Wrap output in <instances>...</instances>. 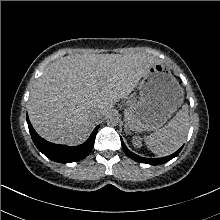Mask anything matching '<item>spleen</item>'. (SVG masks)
<instances>
[{
    "mask_svg": "<svg viewBox=\"0 0 220 220\" xmlns=\"http://www.w3.org/2000/svg\"><path fill=\"white\" fill-rule=\"evenodd\" d=\"M189 130L188 105L182 106L175 117L166 126L150 136L145 137V143L149 150L158 156H167L178 150Z\"/></svg>",
    "mask_w": 220,
    "mask_h": 220,
    "instance_id": "spleen-1",
    "label": "spleen"
}]
</instances>
